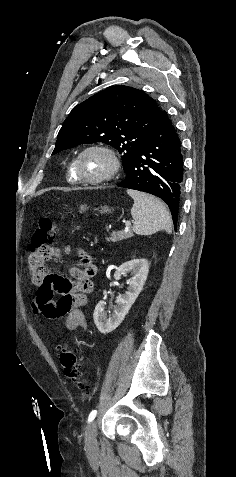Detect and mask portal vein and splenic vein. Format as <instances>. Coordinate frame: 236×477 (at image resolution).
I'll use <instances>...</instances> for the list:
<instances>
[{"instance_id": "1", "label": "portal vein and splenic vein", "mask_w": 236, "mask_h": 477, "mask_svg": "<svg viewBox=\"0 0 236 477\" xmlns=\"http://www.w3.org/2000/svg\"><path fill=\"white\" fill-rule=\"evenodd\" d=\"M130 224L131 223L129 221L125 222V231H128Z\"/></svg>"}]
</instances>
